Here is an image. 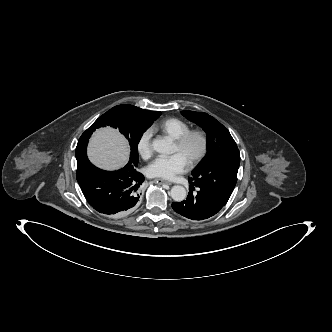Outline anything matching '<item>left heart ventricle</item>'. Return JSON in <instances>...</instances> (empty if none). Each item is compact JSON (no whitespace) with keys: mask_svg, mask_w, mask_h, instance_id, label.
<instances>
[{"mask_svg":"<svg viewBox=\"0 0 332 332\" xmlns=\"http://www.w3.org/2000/svg\"><path fill=\"white\" fill-rule=\"evenodd\" d=\"M199 147H200L199 139L192 138L184 150H180L175 144L174 152L180 153L187 161L190 156H192L193 154H195L198 151Z\"/></svg>","mask_w":332,"mask_h":332,"instance_id":"left-heart-ventricle-1","label":"left heart ventricle"}]
</instances>
